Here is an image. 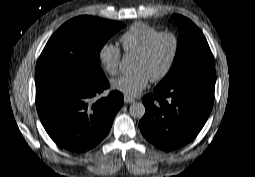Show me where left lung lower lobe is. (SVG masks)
Here are the masks:
<instances>
[{
	"instance_id": "1",
	"label": "left lung lower lobe",
	"mask_w": 255,
	"mask_h": 177,
	"mask_svg": "<svg viewBox=\"0 0 255 177\" xmlns=\"http://www.w3.org/2000/svg\"><path fill=\"white\" fill-rule=\"evenodd\" d=\"M216 74H199L166 88L155 87L143 98L146 108L139 123L144 137L170 151L193 140L213 106Z\"/></svg>"
}]
</instances>
